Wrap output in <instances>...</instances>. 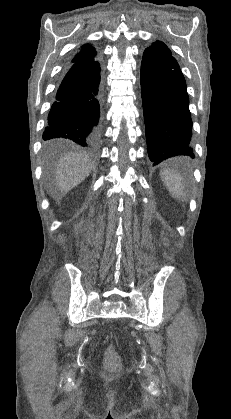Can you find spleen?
I'll return each mask as SVG.
<instances>
[{
	"label": "spleen",
	"instance_id": "obj_1",
	"mask_svg": "<svg viewBox=\"0 0 231 419\" xmlns=\"http://www.w3.org/2000/svg\"><path fill=\"white\" fill-rule=\"evenodd\" d=\"M160 175L167 189L174 197L184 196L185 184L180 174L171 169H166L161 171Z\"/></svg>",
	"mask_w": 231,
	"mask_h": 419
}]
</instances>
